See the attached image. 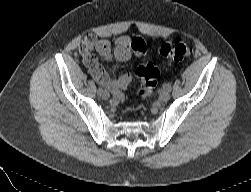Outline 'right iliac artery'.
Here are the masks:
<instances>
[{
	"label": "right iliac artery",
	"instance_id": "right-iliac-artery-1",
	"mask_svg": "<svg viewBox=\"0 0 251 192\" xmlns=\"http://www.w3.org/2000/svg\"><path fill=\"white\" fill-rule=\"evenodd\" d=\"M103 92V89L101 87L98 88V95H101Z\"/></svg>",
	"mask_w": 251,
	"mask_h": 192
}]
</instances>
